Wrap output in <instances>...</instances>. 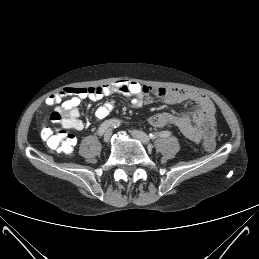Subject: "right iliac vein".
<instances>
[{
    "label": "right iliac vein",
    "mask_w": 259,
    "mask_h": 259,
    "mask_svg": "<svg viewBox=\"0 0 259 259\" xmlns=\"http://www.w3.org/2000/svg\"><path fill=\"white\" fill-rule=\"evenodd\" d=\"M111 135H112V130L111 129L106 130L104 135H103V140L105 142H108L111 138Z\"/></svg>",
    "instance_id": "obj_1"
}]
</instances>
